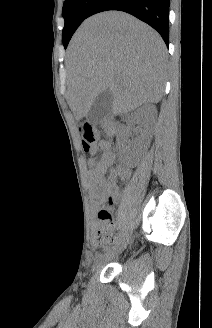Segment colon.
I'll return each mask as SVG.
<instances>
[{"mask_svg": "<svg viewBox=\"0 0 212 328\" xmlns=\"http://www.w3.org/2000/svg\"><path fill=\"white\" fill-rule=\"evenodd\" d=\"M79 131L82 137L83 149L85 152H90L99 138L97 130L89 123H82L79 127ZM109 204H112L111 199ZM99 220L101 224L96 233V243L99 246H106L111 244L115 237L111 230V214L109 210H101L99 212Z\"/></svg>", "mask_w": 212, "mask_h": 328, "instance_id": "obj_1", "label": "colon"}]
</instances>
